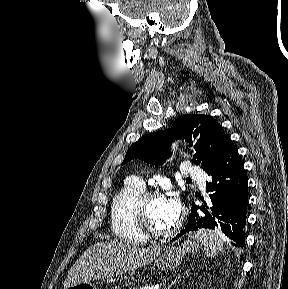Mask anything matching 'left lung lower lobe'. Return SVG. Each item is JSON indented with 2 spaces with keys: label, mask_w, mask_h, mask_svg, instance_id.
Here are the masks:
<instances>
[{
  "label": "left lung lower lobe",
  "mask_w": 288,
  "mask_h": 289,
  "mask_svg": "<svg viewBox=\"0 0 288 289\" xmlns=\"http://www.w3.org/2000/svg\"><path fill=\"white\" fill-rule=\"evenodd\" d=\"M206 173L211 178L206 183L209 196L205 200L200 198L201 205H192L187 226L177 237L200 228L218 229L234 242V246L243 247L248 186L244 166L230 139Z\"/></svg>",
  "instance_id": "1"
}]
</instances>
